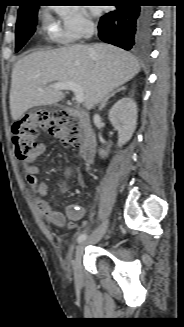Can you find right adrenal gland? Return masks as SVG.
Returning a JSON list of instances; mask_svg holds the SVG:
<instances>
[{
	"instance_id": "1",
	"label": "right adrenal gland",
	"mask_w": 184,
	"mask_h": 327,
	"mask_svg": "<svg viewBox=\"0 0 184 327\" xmlns=\"http://www.w3.org/2000/svg\"><path fill=\"white\" fill-rule=\"evenodd\" d=\"M126 88L125 87H120L118 89H116L115 91H112L109 95H107L105 97V99L102 101L101 106L99 107V110L101 111L108 103L109 99H111L112 97H114L117 93L121 92V91H125Z\"/></svg>"
}]
</instances>
